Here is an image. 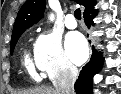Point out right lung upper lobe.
Here are the masks:
<instances>
[{
    "instance_id": "obj_1",
    "label": "right lung upper lobe",
    "mask_w": 121,
    "mask_h": 94,
    "mask_svg": "<svg viewBox=\"0 0 121 94\" xmlns=\"http://www.w3.org/2000/svg\"><path fill=\"white\" fill-rule=\"evenodd\" d=\"M85 7L84 13L94 8L95 0H75ZM45 0H27L18 12L12 37L37 23L42 17L45 10ZM12 39V38H11Z\"/></svg>"
}]
</instances>
